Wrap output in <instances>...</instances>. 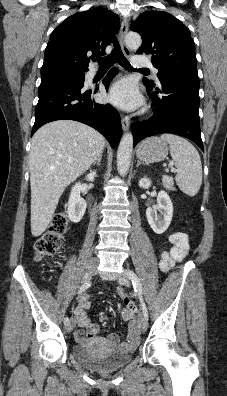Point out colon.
<instances>
[{
    "label": "colon",
    "instance_id": "5ec220e1",
    "mask_svg": "<svg viewBox=\"0 0 227 396\" xmlns=\"http://www.w3.org/2000/svg\"><path fill=\"white\" fill-rule=\"evenodd\" d=\"M68 222L63 212L57 213L51 220L48 230L35 242L34 253L38 261L52 257L61 247L63 238L67 232ZM125 304H130L128 298H124Z\"/></svg>",
    "mask_w": 227,
    "mask_h": 396
}]
</instances>
